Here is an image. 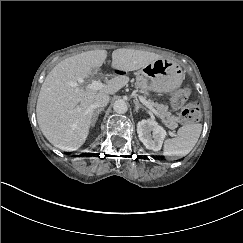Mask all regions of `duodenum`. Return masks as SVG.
I'll list each match as a JSON object with an SVG mask.
<instances>
[{
  "instance_id": "duodenum-1",
  "label": "duodenum",
  "mask_w": 243,
  "mask_h": 243,
  "mask_svg": "<svg viewBox=\"0 0 243 243\" xmlns=\"http://www.w3.org/2000/svg\"><path fill=\"white\" fill-rule=\"evenodd\" d=\"M114 72L119 76H123L126 74V70L123 67H115Z\"/></svg>"
}]
</instances>
